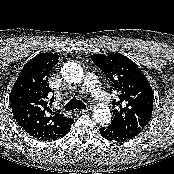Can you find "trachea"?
Returning a JSON list of instances; mask_svg holds the SVG:
<instances>
[{"label": "trachea", "instance_id": "1", "mask_svg": "<svg viewBox=\"0 0 174 174\" xmlns=\"http://www.w3.org/2000/svg\"><path fill=\"white\" fill-rule=\"evenodd\" d=\"M65 111H70L74 109H86V105L77 100V99H71L66 105H65Z\"/></svg>", "mask_w": 174, "mask_h": 174}]
</instances>
